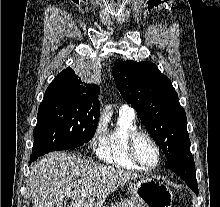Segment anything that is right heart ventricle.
I'll return each instance as SVG.
<instances>
[{
    "label": "right heart ventricle",
    "mask_w": 220,
    "mask_h": 207,
    "mask_svg": "<svg viewBox=\"0 0 220 207\" xmlns=\"http://www.w3.org/2000/svg\"><path fill=\"white\" fill-rule=\"evenodd\" d=\"M137 129L134 115L119 112L116 124L105 130L104 136L96 149L98 158L118 168L134 171L142 170L130 158L127 147L129 135Z\"/></svg>",
    "instance_id": "e07e8e85"
}]
</instances>
